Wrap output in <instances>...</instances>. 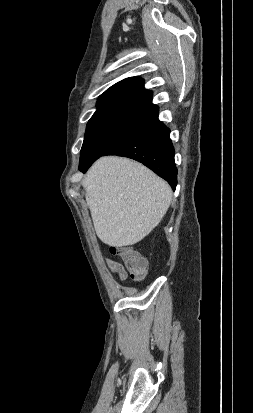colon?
<instances>
[{
	"label": "colon",
	"mask_w": 253,
	"mask_h": 413,
	"mask_svg": "<svg viewBox=\"0 0 253 413\" xmlns=\"http://www.w3.org/2000/svg\"><path fill=\"white\" fill-rule=\"evenodd\" d=\"M110 252L119 256L130 276L135 280H142L147 273L146 260L136 251L128 246H111Z\"/></svg>",
	"instance_id": "colon-1"
}]
</instances>
